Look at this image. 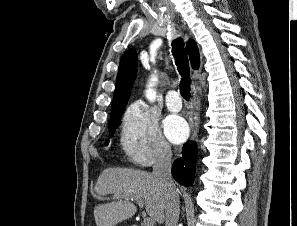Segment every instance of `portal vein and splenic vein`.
<instances>
[{
    "mask_svg": "<svg viewBox=\"0 0 297 226\" xmlns=\"http://www.w3.org/2000/svg\"><path fill=\"white\" fill-rule=\"evenodd\" d=\"M129 200H131V201H135L136 203H138V205L140 206V207H143L144 206V202H143V200L140 198V197H132V198H129ZM144 225L145 226H153L154 225V219H153V217H146V218H144Z\"/></svg>",
    "mask_w": 297,
    "mask_h": 226,
    "instance_id": "1",
    "label": "portal vein and splenic vein"
}]
</instances>
